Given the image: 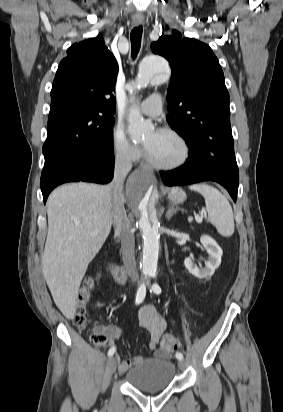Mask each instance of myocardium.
Listing matches in <instances>:
<instances>
[{"label": "myocardium", "mask_w": 283, "mask_h": 412, "mask_svg": "<svg viewBox=\"0 0 283 412\" xmlns=\"http://www.w3.org/2000/svg\"><path fill=\"white\" fill-rule=\"evenodd\" d=\"M158 131L172 135L180 142L182 149H183L182 157L179 161L173 164H169V165L159 164L151 158L147 148L144 146V155H145V159L147 163L155 169L166 170V171L176 170L184 166L189 160L190 153H191L190 146L187 140L185 139V137L180 132L170 127H163V128H160Z\"/></svg>", "instance_id": "myocardium-1"}]
</instances>
